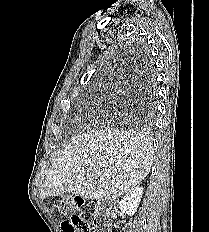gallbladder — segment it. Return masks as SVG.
<instances>
[{
	"label": "gallbladder",
	"instance_id": "bac80fb5",
	"mask_svg": "<svg viewBox=\"0 0 209 232\" xmlns=\"http://www.w3.org/2000/svg\"><path fill=\"white\" fill-rule=\"evenodd\" d=\"M66 196H68V194H67V193H65V194H63V195H62V197H66Z\"/></svg>",
	"mask_w": 209,
	"mask_h": 232
}]
</instances>
